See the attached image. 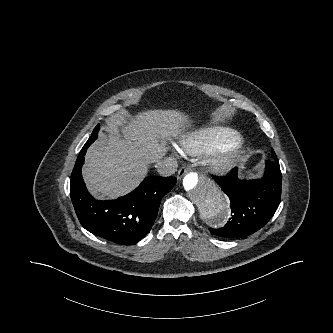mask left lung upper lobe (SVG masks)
I'll return each instance as SVG.
<instances>
[{
    "mask_svg": "<svg viewBox=\"0 0 333 333\" xmlns=\"http://www.w3.org/2000/svg\"><path fill=\"white\" fill-rule=\"evenodd\" d=\"M272 156H273V158L276 160L277 159V157H276V155H275V153H274V151L272 150ZM278 160V159H277Z\"/></svg>",
    "mask_w": 333,
    "mask_h": 333,
    "instance_id": "obj_1",
    "label": "left lung upper lobe"
}]
</instances>
